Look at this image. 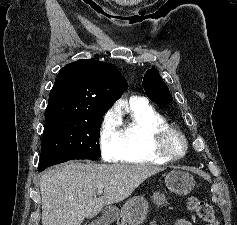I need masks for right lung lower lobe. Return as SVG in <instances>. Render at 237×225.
<instances>
[{
	"label": "right lung lower lobe",
	"mask_w": 237,
	"mask_h": 225,
	"mask_svg": "<svg viewBox=\"0 0 237 225\" xmlns=\"http://www.w3.org/2000/svg\"><path fill=\"white\" fill-rule=\"evenodd\" d=\"M83 157L75 155V154H67V153H41L38 171L41 172L45 170L47 167H50L55 164L63 163L73 159H81Z\"/></svg>",
	"instance_id": "98d812e1"
}]
</instances>
